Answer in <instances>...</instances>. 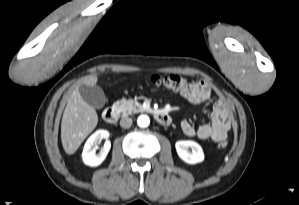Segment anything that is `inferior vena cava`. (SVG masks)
<instances>
[{
  "instance_id": "1",
  "label": "inferior vena cava",
  "mask_w": 299,
  "mask_h": 205,
  "mask_svg": "<svg viewBox=\"0 0 299 205\" xmlns=\"http://www.w3.org/2000/svg\"><path fill=\"white\" fill-rule=\"evenodd\" d=\"M132 125V119L129 117H122L120 120V126L123 128H130Z\"/></svg>"
}]
</instances>
